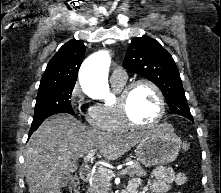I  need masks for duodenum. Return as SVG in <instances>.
<instances>
[{
	"label": "duodenum",
	"mask_w": 221,
	"mask_h": 193,
	"mask_svg": "<svg viewBox=\"0 0 221 193\" xmlns=\"http://www.w3.org/2000/svg\"><path fill=\"white\" fill-rule=\"evenodd\" d=\"M93 171L90 165H83L80 169V177L84 181H89L92 177ZM121 193H134L131 189H125Z\"/></svg>",
	"instance_id": "410a0bca"
}]
</instances>
